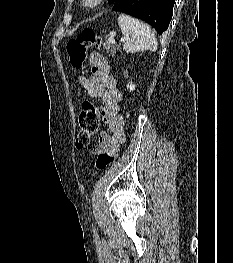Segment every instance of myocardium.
I'll return each instance as SVG.
<instances>
[{
	"mask_svg": "<svg viewBox=\"0 0 233 263\" xmlns=\"http://www.w3.org/2000/svg\"><path fill=\"white\" fill-rule=\"evenodd\" d=\"M105 0H82V6L88 10L99 8Z\"/></svg>",
	"mask_w": 233,
	"mask_h": 263,
	"instance_id": "f54148a6",
	"label": "myocardium"
}]
</instances>
